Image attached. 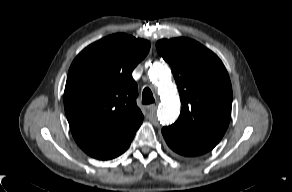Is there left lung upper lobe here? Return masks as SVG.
Here are the masks:
<instances>
[{
  "label": "left lung upper lobe",
  "mask_w": 292,
  "mask_h": 192,
  "mask_svg": "<svg viewBox=\"0 0 292 192\" xmlns=\"http://www.w3.org/2000/svg\"><path fill=\"white\" fill-rule=\"evenodd\" d=\"M157 51L173 71L183 107L166 127L187 137L217 144L225 134L232 107V87L221 60L188 38L160 40Z\"/></svg>",
  "instance_id": "1"
}]
</instances>
